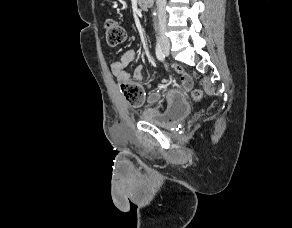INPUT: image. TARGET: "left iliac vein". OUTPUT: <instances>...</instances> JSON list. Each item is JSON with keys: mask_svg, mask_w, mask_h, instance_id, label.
Instances as JSON below:
<instances>
[{"mask_svg": "<svg viewBox=\"0 0 292 228\" xmlns=\"http://www.w3.org/2000/svg\"><path fill=\"white\" fill-rule=\"evenodd\" d=\"M165 54H166V55H168V54H169V52H168V51H165Z\"/></svg>", "mask_w": 292, "mask_h": 228, "instance_id": "obj_1", "label": "left iliac vein"}]
</instances>
